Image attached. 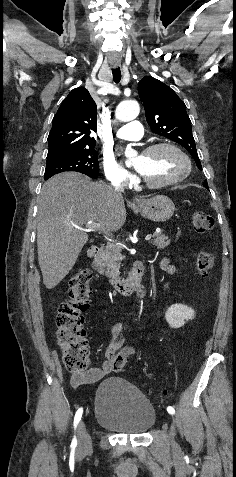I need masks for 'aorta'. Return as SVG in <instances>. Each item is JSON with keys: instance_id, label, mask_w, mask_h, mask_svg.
Segmentation results:
<instances>
[{"instance_id": "762f6f07", "label": "aorta", "mask_w": 236, "mask_h": 477, "mask_svg": "<svg viewBox=\"0 0 236 477\" xmlns=\"http://www.w3.org/2000/svg\"><path fill=\"white\" fill-rule=\"evenodd\" d=\"M140 111V107L137 101L128 100L121 102L115 111V116L120 121H131L135 119ZM127 157H132L134 155V151L132 149H127L125 152Z\"/></svg>"}]
</instances>
